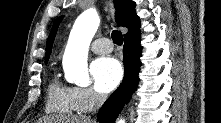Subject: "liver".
Instances as JSON below:
<instances>
[{
    "label": "liver",
    "mask_w": 221,
    "mask_h": 123,
    "mask_svg": "<svg viewBox=\"0 0 221 123\" xmlns=\"http://www.w3.org/2000/svg\"><path fill=\"white\" fill-rule=\"evenodd\" d=\"M49 122H59V123H93L89 118L84 116H73L71 118H57L55 120H48Z\"/></svg>",
    "instance_id": "6515ba94"
}]
</instances>
